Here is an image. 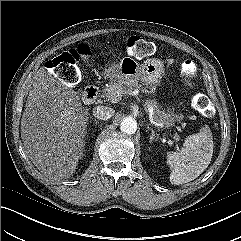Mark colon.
Here are the masks:
<instances>
[{
    "mask_svg": "<svg viewBox=\"0 0 241 241\" xmlns=\"http://www.w3.org/2000/svg\"><path fill=\"white\" fill-rule=\"evenodd\" d=\"M81 45L76 50H70L51 59L46 66L57 74L65 83L74 85L80 79L78 61L81 56ZM129 55L133 57H145L154 53L155 46L152 42L138 36L130 37L126 42ZM181 76L185 82H191L197 72L196 64L191 59H185L180 67ZM208 99L203 95H195L192 99V107L198 113L208 110Z\"/></svg>",
    "mask_w": 241,
    "mask_h": 241,
    "instance_id": "1",
    "label": "colon"
}]
</instances>
